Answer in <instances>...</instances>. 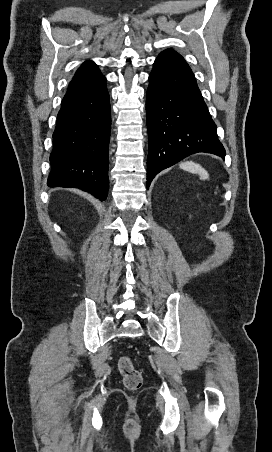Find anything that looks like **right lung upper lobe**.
<instances>
[{"instance_id": "obj_1", "label": "right lung upper lobe", "mask_w": 272, "mask_h": 452, "mask_svg": "<svg viewBox=\"0 0 272 452\" xmlns=\"http://www.w3.org/2000/svg\"><path fill=\"white\" fill-rule=\"evenodd\" d=\"M102 76L97 65L92 61H85L76 71L69 87L85 85L96 81Z\"/></svg>"}]
</instances>
